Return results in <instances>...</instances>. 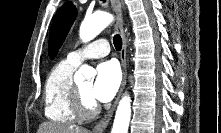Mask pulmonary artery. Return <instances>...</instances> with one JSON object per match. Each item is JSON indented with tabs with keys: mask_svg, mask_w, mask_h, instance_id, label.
<instances>
[{
	"mask_svg": "<svg viewBox=\"0 0 221 133\" xmlns=\"http://www.w3.org/2000/svg\"><path fill=\"white\" fill-rule=\"evenodd\" d=\"M109 52V44L104 40H98L83 48L70 52L66 59L75 65H79L86 59L104 57L108 55Z\"/></svg>",
	"mask_w": 221,
	"mask_h": 133,
	"instance_id": "e3ab8cb5",
	"label": "pulmonary artery"
}]
</instances>
